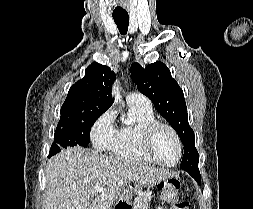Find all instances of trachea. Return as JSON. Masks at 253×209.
I'll return each mask as SVG.
<instances>
[{"instance_id": "1", "label": "trachea", "mask_w": 253, "mask_h": 209, "mask_svg": "<svg viewBox=\"0 0 253 209\" xmlns=\"http://www.w3.org/2000/svg\"><path fill=\"white\" fill-rule=\"evenodd\" d=\"M113 19L121 34H126L128 31L129 17L128 15L113 16Z\"/></svg>"}]
</instances>
